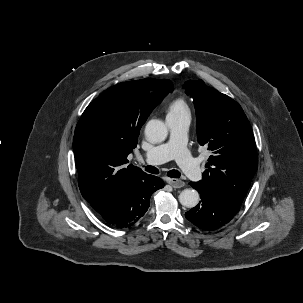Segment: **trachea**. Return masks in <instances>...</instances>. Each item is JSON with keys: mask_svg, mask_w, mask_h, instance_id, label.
<instances>
[{"mask_svg": "<svg viewBox=\"0 0 303 303\" xmlns=\"http://www.w3.org/2000/svg\"><path fill=\"white\" fill-rule=\"evenodd\" d=\"M145 171L149 172V173H152V174H158L159 173V170L154 167V166H145L144 167ZM180 172L178 170H170L168 173H167V176L171 177V178H179L180 177Z\"/></svg>", "mask_w": 303, "mask_h": 303, "instance_id": "3493384b", "label": "trachea"}]
</instances>
